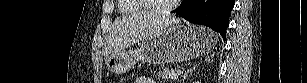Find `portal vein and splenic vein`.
I'll return each instance as SVG.
<instances>
[{
	"label": "portal vein and splenic vein",
	"mask_w": 307,
	"mask_h": 83,
	"mask_svg": "<svg viewBox=\"0 0 307 83\" xmlns=\"http://www.w3.org/2000/svg\"><path fill=\"white\" fill-rule=\"evenodd\" d=\"M178 76H179L178 73H172L171 76H170V78H171V79H177Z\"/></svg>",
	"instance_id": "portal-vein-and-splenic-vein-1"
}]
</instances>
